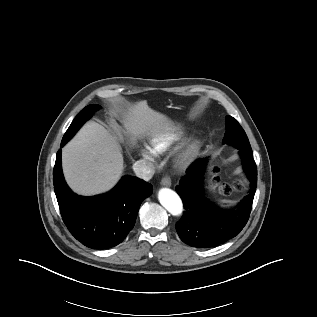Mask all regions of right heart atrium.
<instances>
[{
	"label": "right heart atrium",
	"mask_w": 317,
	"mask_h": 317,
	"mask_svg": "<svg viewBox=\"0 0 317 317\" xmlns=\"http://www.w3.org/2000/svg\"><path fill=\"white\" fill-rule=\"evenodd\" d=\"M139 154L141 158L148 162H152L154 160V155L149 149H141Z\"/></svg>",
	"instance_id": "obj_1"
}]
</instances>
